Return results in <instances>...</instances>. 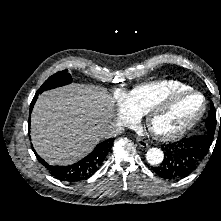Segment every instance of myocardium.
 Masks as SVG:
<instances>
[{"label": "myocardium", "instance_id": "obj_1", "mask_svg": "<svg viewBox=\"0 0 221 221\" xmlns=\"http://www.w3.org/2000/svg\"><path fill=\"white\" fill-rule=\"evenodd\" d=\"M190 95H197L201 98L200 108L196 111V113L190 119H188L181 126L170 131H160L154 127L153 125L154 119L160 113H162L171 105L175 104L176 102ZM205 110H206V99H205V96L201 92L193 90V89L179 91V92L172 93L154 102L145 113V124H146L148 131L155 138L162 140V141H173L182 137L190 129H192L200 121Z\"/></svg>", "mask_w": 221, "mask_h": 221}]
</instances>
